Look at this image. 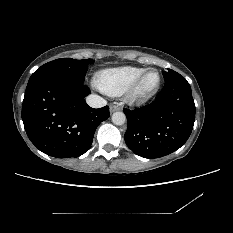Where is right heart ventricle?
I'll return each mask as SVG.
<instances>
[{"mask_svg": "<svg viewBox=\"0 0 233 233\" xmlns=\"http://www.w3.org/2000/svg\"><path fill=\"white\" fill-rule=\"evenodd\" d=\"M146 70L137 66H122L102 70L98 74L97 86L110 96H120L125 93L135 79Z\"/></svg>", "mask_w": 233, "mask_h": 233, "instance_id": "right-heart-ventricle-1", "label": "right heart ventricle"}]
</instances>
